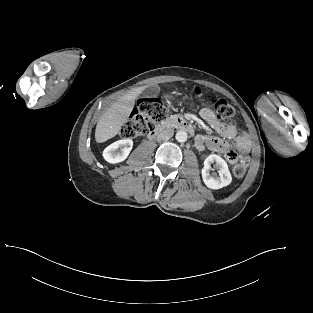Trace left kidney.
<instances>
[{
    "label": "left kidney",
    "mask_w": 313,
    "mask_h": 313,
    "mask_svg": "<svg viewBox=\"0 0 313 313\" xmlns=\"http://www.w3.org/2000/svg\"><path fill=\"white\" fill-rule=\"evenodd\" d=\"M216 163L219 168V177L215 178L210 175V164ZM202 179L205 185L210 189H220L232 182V176L228 169V165L224 159L216 154L209 155L204 161V167L202 169Z\"/></svg>",
    "instance_id": "5707ae66"
}]
</instances>
